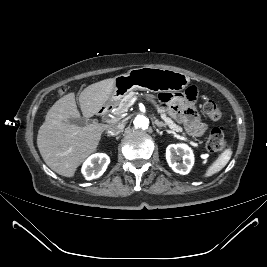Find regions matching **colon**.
Instances as JSON below:
<instances>
[{
  "label": "colon",
  "mask_w": 267,
  "mask_h": 267,
  "mask_svg": "<svg viewBox=\"0 0 267 267\" xmlns=\"http://www.w3.org/2000/svg\"><path fill=\"white\" fill-rule=\"evenodd\" d=\"M202 110L204 114L212 121H218L222 117V107L219 103L209 100L204 103ZM207 149L211 152H220L225 150L227 143L221 128H213L207 138Z\"/></svg>",
  "instance_id": "obj_1"
}]
</instances>
